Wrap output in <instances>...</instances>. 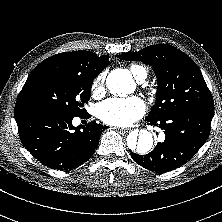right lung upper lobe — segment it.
<instances>
[{
	"label": "right lung upper lobe",
	"mask_w": 222,
	"mask_h": 222,
	"mask_svg": "<svg viewBox=\"0 0 222 222\" xmlns=\"http://www.w3.org/2000/svg\"><path fill=\"white\" fill-rule=\"evenodd\" d=\"M109 57L89 51L64 52L51 56L36 66L24 85L52 73H77L96 77L109 64Z\"/></svg>",
	"instance_id": "1"
}]
</instances>
